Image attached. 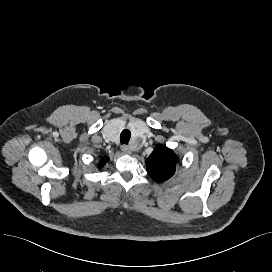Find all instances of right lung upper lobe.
Returning <instances> with one entry per match:
<instances>
[{"label": "right lung upper lobe", "mask_w": 272, "mask_h": 272, "mask_svg": "<svg viewBox=\"0 0 272 272\" xmlns=\"http://www.w3.org/2000/svg\"><path fill=\"white\" fill-rule=\"evenodd\" d=\"M107 161H108V158H107V157L102 158L99 165H100V166H103Z\"/></svg>", "instance_id": "cb5924a9"}]
</instances>
